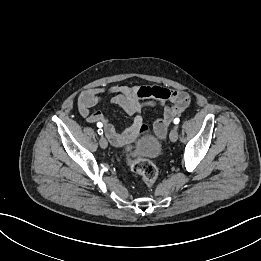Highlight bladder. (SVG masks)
<instances>
[{
    "label": "bladder",
    "mask_w": 261,
    "mask_h": 261,
    "mask_svg": "<svg viewBox=\"0 0 261 261\" xmlns=\"http://www.w3.org/2000/svg\"><path fill=\"white\" fill-rule=\"evenodd\" d=\"M160 142L151 136H143L138 139L135 145L129 148V155L133 159H152L161 152Z\"/></svg>",
    "instance_id": "31cf9c89"
}]
</instances>
